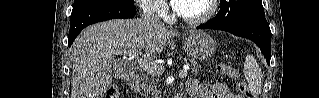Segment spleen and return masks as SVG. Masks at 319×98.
Listing matches in <instances>:
<instances>
[{
	"label": "spleen",
	"mask_w": 319,
	"mask_h": 98,
	"mask_svg": "<svg viewBox=\"0 0 319 98\" xmlns=\"http://www.w3.org/2000/svg\"><path fill=\"white\" fill-rule=\"evenodd\" d=\"M244 76L249 84V89L254 96L261 93L263 75L259 64L252 55H247L244 63Z\"/></svg>",
	"instance_id": "spleen-1"
}]
</instances>
